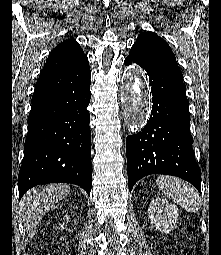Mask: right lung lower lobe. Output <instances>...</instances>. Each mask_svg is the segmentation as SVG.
<instances>
[{
    "label": "right lung lower lobe",
    "instance_id": "obj_1",
    "mask_svg": "<svg viewBox=\"0 0 221 255\" xmlns=\"http://www.w3.org/2000/svg\"><path fill=\"white\" fill-rule=\"evenodd\" d=\"M90 67L87 57L58 73L39 78L28 117L19 198L46 183H72L90 195Z\"/></svg>",
    "mask_w": 221,
    "mask_h": 255
}]
</instances>
